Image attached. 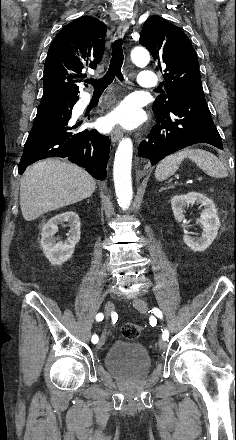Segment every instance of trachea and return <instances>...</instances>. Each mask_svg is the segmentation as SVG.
<instances>
[{"label":"trachea","mask_w":236,"mask_h":440,"mask_svg":"<svg viewBox=\"0 0 236 440\" xmlns=\"http://www.w3.org/2000/svg\"><path fill=\"white\" fill-rule=\"evenodd\" d=\"M122 39H117L113 43L112 57L107 73L100 79H89L87 83L94 87V91H104L108 85H110L115 77L120 81H124V77L121 72L123 65L124 55L122 49Z\"/></svg>","instance_id":"1"}]
</instances>
